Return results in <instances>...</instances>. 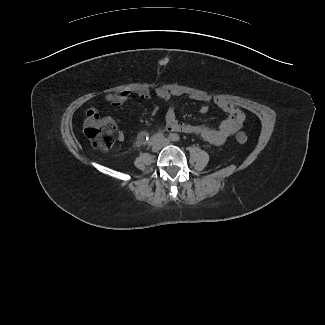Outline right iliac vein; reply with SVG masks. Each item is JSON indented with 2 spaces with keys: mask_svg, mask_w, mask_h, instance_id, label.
<instances>
[{
  "mask_svg": "<svg viewBox=\"0 0 325 325\" xmlns=\"http://www.w3.org/2000/svg\"><path fill=\"white\" fill-rule=\"evenodd\" d=\"M162 146H163L162 141H158V142H156V143L153 144L152 151L158 152V151L161 150Z\"/></svg>",
  "mask_w": 325,
  "mask_h": 325,
  "instance_id": "63e3f726",
  "label": "right iliac vein"
}]
</instances>
